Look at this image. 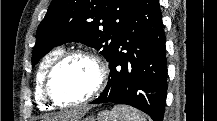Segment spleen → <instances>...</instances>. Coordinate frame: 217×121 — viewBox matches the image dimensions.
<instances>
[{
  "instance_id": "1",
  "label": "spleen",
  "mask_w": 217,
  "mask_h": 121,
  "mask_svg": "<svg viewBox=\"0 0 217 121\" xmlns=\"http://www.w3.org/2000/svg\"><path fill=\"white\" fill-rule=\"evenodd\" d=\"M99 121H146V118L133 107L116 105L111 111L102 112Z\"/></svg>"
}]
</instances>
